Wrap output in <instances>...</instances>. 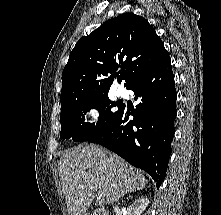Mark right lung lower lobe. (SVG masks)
<instances>
[{
    "label": "right lung lower lobe",
    "mask_w": 221,
    "mask_h": 215,
    "mask_svg": "<svg viewBox=\"0 0 221 215\" xmlns=\"http://www.w3.org/2000/svg\"><path fill=\"white\" fill-rule=\"evenodd\" d=\"M127 89L134 91L135 100H140L136 109L123 105L112 126L87 141L101 144L145 170L158 188L165 178L177 114L170 57ZM129 115L133 120L128 119Z\"/></svg>",
    "instance_id": "obj_1"
}]
</instances>
